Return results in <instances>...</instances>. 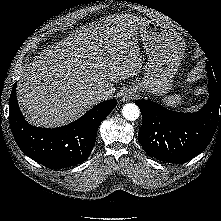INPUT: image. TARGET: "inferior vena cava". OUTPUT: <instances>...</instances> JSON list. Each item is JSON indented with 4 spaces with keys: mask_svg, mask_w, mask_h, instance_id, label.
<instances>
[{
    "mask_svg": "<svg viewBox=\"0 0 221 221\" xmlns=\"http://www.w3.org/2000/svg\"><path fill=\"white\" fill-rule=\"evenodd\" d=\"M91 95L98 102H100L101 100L109 98V94L103 89L95 90L91 93Z\"/></svg>",
    "mask_w": 221,
    "mask_h": 221,
    "instance_id": "602c4592",
    "label": "inferior vena cava"
}]
</instances>
